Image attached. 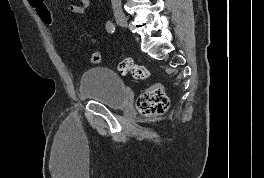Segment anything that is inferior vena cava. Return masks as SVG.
Instances as JSON below:
<instances>
[{
    "mask_svg": "<svg viewBox=\"0 0 264 178\" xmlns=\"http://www.w3.org/2000/svg\"><path fill=\"white\" fill-rule=\"evenodd\" d=\"M112 8L115 13H121L122 7H121V0H111Z\"/></svg>",
    "mask_w": 264,
    "mask_h": 178,
    "instance_id": "1",
    "label": "inferior vena cava"
}]
</instances>
